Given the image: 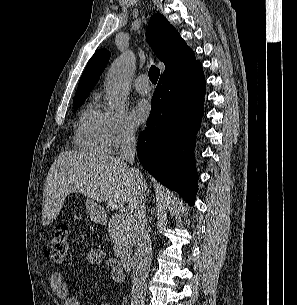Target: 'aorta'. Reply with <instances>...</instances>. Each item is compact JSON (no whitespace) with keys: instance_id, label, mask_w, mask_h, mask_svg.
<instances>
[{"instance_id":"aorta-1","label":"aorta","mask_w":297,"mask_h":305,"mask_svg":"<svg viewBox=\"0 0 297 305\" xmlns=\"http://www.w3.org/2000/svg\"><path fill=\"white\" fill-rule=\"evenodd\" d=\"M135 66L132 52L122 54L111 65L106 81V97L111 110L122 112L130 92V78Z\"/></svg>"}]
</instances>
